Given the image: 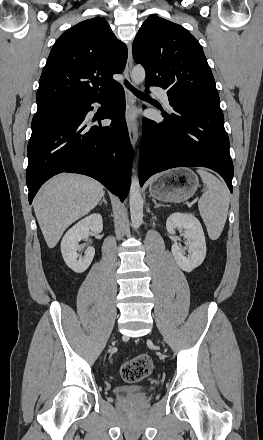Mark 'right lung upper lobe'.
Instances as JSON below:
<instances>
[{
	"mask_svg": "<svg viewBox=\"0 0 263 440\" xmlns=\"http://www.w3.org/2000/svg\"><path fill=\"white\" fill-rule=\"evenodd\" d=\"M126 60V45L105 19L76 24L58 38L49 54L39 80L38 107L106 92L118 85L112 75L122 73Z\"/></svg>",
	"mask_w": 263,
	"mask_h": 440,
	"instance_id": "obj_1",
	"label": "right lung upper lobe"
}]
</instances>
